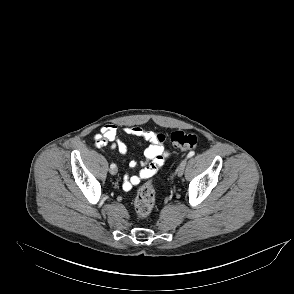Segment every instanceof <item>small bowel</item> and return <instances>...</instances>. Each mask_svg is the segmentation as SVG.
Here are the masks:
<instances>
[{"mask_svg":"<svg viewBox=\"0 0 294 294\" xmlns=\"http://www.w3.org/2000/svg\"><path fill=\"white\" fill-rule=\"evenodd\" d=\"M123 132L129 136L142 138L149 142L144 150L145 161L141 163L143 168L135 175L124 176L123 188L130 190L133 186L140 184L143 180L152 177L165 163L167 152L160 138V133L146 130L140 126H126ZM94 144L97 148L110 145L125 157L128 153V146L119 138L118 128L115 124H106L101 127L100 132L94 136ZM131 167L137 166L136 161L130 162Z\"/></svg>","mask_w":294,"mask_h":294,"instance_id":"c3829d8e","label":"small bowel"}]
</instances>
